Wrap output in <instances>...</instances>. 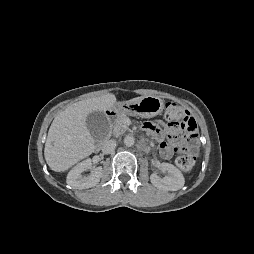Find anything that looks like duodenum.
I'll return each mask as SVG.
<instances>
[{
  "instance_id": "duodenum-1",
  "label": "duodenum",
  "mask_w": 254,
  "mask_h": 254,
  "mask_svg": "<svg viewBox=\"0 0 254 254\" xmlns=\"http://www.w3.org/2000/svg\"><path fill=\"white\" fill-rule=\"evenodd\" d=\"M117 116H119V111H117V110H112L107 113V118L109 121L113 120Z\"/></svg>"
}]
</instances>
